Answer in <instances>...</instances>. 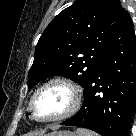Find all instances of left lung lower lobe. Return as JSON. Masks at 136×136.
<instances>
[{"label":"left lung lower lobe","mask_w":136,"mask_h":136,"mask_svg":"<svg viewBox=\"0 0 136 136\" xmlns=\"http://www.w3.org/2000/svg\"><path fill=\"white\" fill-rule=\"evenodd\" d=\"M135 109L136 42L127 14L84 87L80 111L61 125L84 127L102 136H129Z\"/></svg>","instance_id":"0a47b994"}]
</instances>
